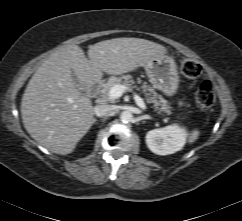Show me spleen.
<instances>
[{
  "mask_svg": "<svg viewBox=\"0 0 242 221\" xmlns=\"http://www.w3.org/2000/svg\"><path fill=\"white\" fill-rule=\"evenodd\" d=\"M199 132L198 130H194L189 138V142L193 143L198 138Z\"/></svg>",
  "mask_w": 242,
  "mask_h": 221,
  "instance_id": "1",
  "label": "spleen"
}]
</instances>
